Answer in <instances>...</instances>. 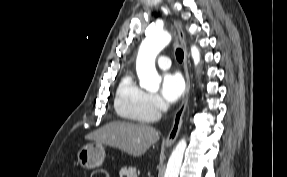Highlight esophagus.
Instances as JSON below:
<instances>
[{"label":"esophagus","mask_w":287,"mask_h":177,"mask_svg":"<svg viewBox=\"0 0 287 177\" xmlns=\"http://www.w3.org/2000/svg\"><path fill=\"white\" fill-rule=\"evenodd\" d=\"M174 25L177 29L179 39L181 41V45L183 47L184 51V71H185V79H186V88H185V96L182 101V104L180 105L179 109L176 111L173 121V126L165 140L166 145H171L175 142V140L178 137V134L180 132L182 122H183V115L187 107L188 99H189V92H190V86H191V80L190 75L188 72V66H189V55L187 50V44H186V38L185 33L183 31L182 25L174 21Z\"/></svg>","instance_id":"34e87169"}]
</instances>
